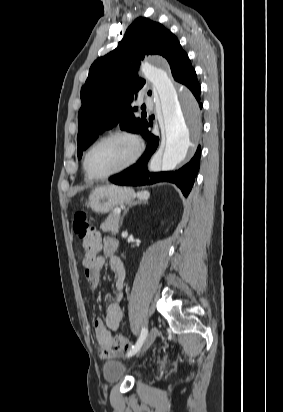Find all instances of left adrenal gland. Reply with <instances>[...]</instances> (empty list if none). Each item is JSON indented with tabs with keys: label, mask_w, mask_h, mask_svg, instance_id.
I'll return each mask as SVG.
<instances>
[{
	"label": "left adrenal gland",
	"mask_w": 283,
	"mask_h": 412,
	"mask_svg": "<svg viewBox=\"0 0 283 412\" xmlns=\"http://www.w3.org/2000/svg\"><path fill=\"white\" fill-rule=\"evenodd\" d=\"M142 202H143L142 199H138V200L132 202V203L127 207V209H125V211H124V213H123V216H122V218H121V224H120L121 226H122V223H123V219H124L127 211L129 210V208L132 207V206H134V205L141 204Z\"/></svg>",
	"instance_id": "left-adrenal-gland-1"
}]
</instances>
